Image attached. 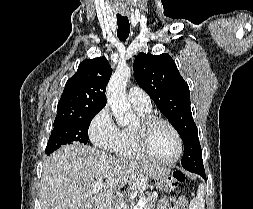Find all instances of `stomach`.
<instances>
[{
	"label": "stomach",
	"mask_w": 253,
	"mask_h": 209,
	"mask_svg": "<svg viewBox=\"0 0 253 209\" xmlns=\"http://www.w3.org/2000/svg\"><path fill=\"white\" fill-rule=\"evenodd\" d=\"M168 182V176L163 175L157 178V182L155 181H139L137 182H123V185L119 188V194L120 196H117V203H115L114 209H131V202L128 196H131V187H136L139 184V186H155L157 187V192H166ZM139 188V187H138ZM142 188V187H141Z\"/></svg>",
	"instance_id": "obj_1"
}]
</instances>
